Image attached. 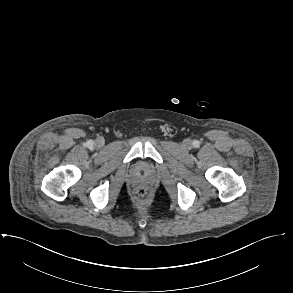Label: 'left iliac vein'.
I'll return each mask as SVG.
<instances>
[{
	"label": "left iliac vein",
	"instance_id": "1",
	"mask_svg": "<svg viewBox=\"0 0 293 293\" xmlns=\"http://www.w3.org/2000/svg\"><path fill=\"white\" fill-rule=\"evenodd\" d=\"M183 145L185 148L191 147V141L189 139L184 140Z\"/></svg>",
	"mask_w": 293,
	"mask_h": 293
}]
</instances>
